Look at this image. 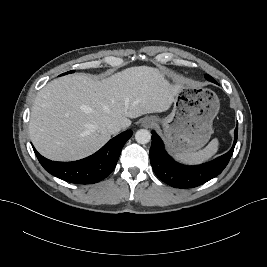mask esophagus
I'll use <instances>...</instances> for the list:
<instances>
[{
	"instance_id": "obj_1",
	"label": "esophagus",
	"mask_w": 267,
	"mask_h": 267,
	"mask_svg": "<svg viewBox=\"0 0 267 267\" xmlns=\"http://www.w3.org/2000/svg\"><path fill=\"white\" fill-rule=\"evenodd\" d=\"M154 125V121L150 118H147L143 121V126L145 127H151Z\"/></svg>"
}]
</instances>
